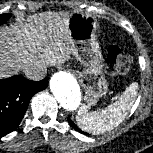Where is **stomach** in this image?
Returning <instances> with one entry per match:
<instances>
[{
  "label": "stomach",
  "mask_w": 153,
  "mask_h": 153,
  "mask_svg": "<svg viewBox=\"0 0 153 153\" xmlns=\"http://www.w3.org/2000/svg\"><path fill=\"white\" fill-rule=\"evenodd\" d=\"M97 27L96 19L90 15L74 12L68 17L72 54L85 67L78 73V78L85 90V101L90 106L108 92L102 52L96 35Z\"/></svg>",
  "instance_id": "obj_1"
}]
</instances>
